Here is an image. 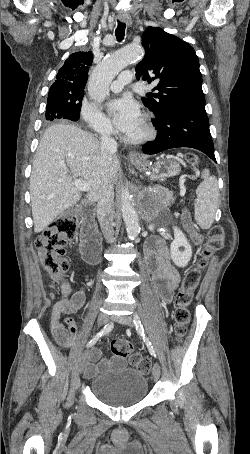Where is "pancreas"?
<instances>
[{
  "mask_svg": "<svg viewBox=\"0 0 250 454\" xmlns=\"http://www.w3.org/2000/svg\"><path fill=\"white\" fill-rule=\"evenodd\" d=\"M172 199L173 198H172L171 194H167L166 198L162 199L163 200V204L169 205Z\"/></svg>",
  "mask_w": 250,
  "mask_h": 454,
  "instance_id": "obj_1",
  "label": "pancreas"
}]
</instances>
